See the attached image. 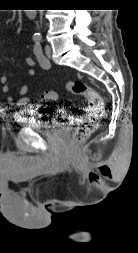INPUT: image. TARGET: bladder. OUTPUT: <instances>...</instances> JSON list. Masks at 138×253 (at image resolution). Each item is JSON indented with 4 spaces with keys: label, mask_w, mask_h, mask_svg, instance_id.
<instances>
[{
    "label": "bladder",
    "mask_w": 138,
    "mask_h": 253,
    "mask_svg": "<svg viewBox=\"0 0 138 253\" xmlns=\"http://www.w3.org/2000/svg\"><path fill=\"white\" fill-rule=\"evenodd\" d=\"M19 123L21 126L38 133H50L62 125L49 118V112L44 107L32 106L19 112Z\"/></svg>",
    "instance_id": "1"
}]
</instances>
